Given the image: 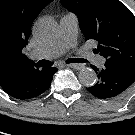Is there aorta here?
Listing matches in <instances>:
<instances>
[{
	"instance_id": "obj_1",
	"label": "aorta",
	"mask_w": 135,
	"mask_h": 135,
	"mask_svg": "<svg viewBox=\"0 0 135 135\" xmlns=\"http://www.w3.org/2000/svg\"><path fill=\"white\" fill-rule=\"evenodd\" d=\"M35 35L44 42H52L58 38V24L51 18H42L34 25ZM79 81L85 86H92L97 81L96 72L91 68H83L78 75Z\"/></svg>"
}]
</instances>
